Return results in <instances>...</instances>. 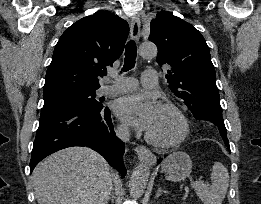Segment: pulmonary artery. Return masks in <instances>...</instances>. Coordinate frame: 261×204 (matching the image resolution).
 I'll use <instances>...</instances> for the list:
<instances>
[{"mask_svg":"<svg viewBox=\"0 0 261 204\" xmlns=\"http://www.w3.org/2000/svg\"><path fill=\"white\" fill-rule=\"evenodd\" d=\"M141 82L148 86L153 87L158 82V74L155 69H147L141 76ZM138 86V81L133 77H119L116 78L113 84H104L101 86L99 93L101 95H117L130 92Z\"/></svg>","mask_w":261,"mask_h":204,"instance_id":"e3ab8cb5","label":"pulmonary artery"}]
</instances>
